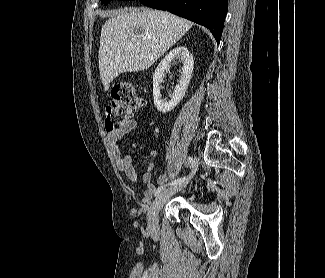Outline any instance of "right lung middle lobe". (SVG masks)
<instances>
[{
  "instance_id": "dd1d6c3e",
  "label": "right lung middle lobe",
  "mask_w": 325,
  "mask_h": 278,
  "mask_svg": "<svg viewBox=\"0 0 325 278\" xmlns=\"http://www.w3.org/2000/svg\"><path fill=\"white\" fill-rule=\"evenodd\" d=\"M110 1H111V0H101V3L104 4V5H106V4H108ZM127 1H129V0H127Z\"/></svg>"
}]
</instances>
